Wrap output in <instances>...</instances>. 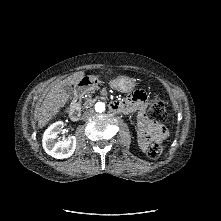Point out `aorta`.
<instances>
[{
	"label": "aorta",
	"instance_id": "762f6f07",
	"mask_svg": "<svg viewBox=\"0 0 221 221\" xmlns=\"http://www.w3.org/2000/svg\"><path fill=\"white\" fill-rule=\"evenodd\" d=\"M95 111L98 113H102L105 111V104L103 102H97L95 104Z\"/></svg>",
	"mask_w": 221,
	"mask_h": 221
}]
</instances>
